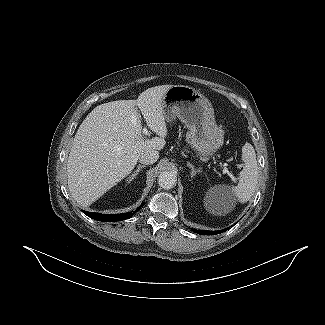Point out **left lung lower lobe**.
Masks as SVG:
<instances>
[{
	"instance_id": "left-lung-lower-lobe-1",
	"label": "left lung lower lobe",
	"mask_w": 325,
	"mask_h": 325,
	"mask_svg": "<svg viewBox=\"0 0 325 325\" xmlns=\"http://www.w3.org/2000/svg\"><path fill=\"white\" fill-rule=\"evenodd\" d=\"M227 229H229V228H227ZM227 229H223V230H220V231H204V230H196V229H194V232L198 233V234H204V235H216V234H220L222 232H225Z\"/></svg>"
}]
</instances>
